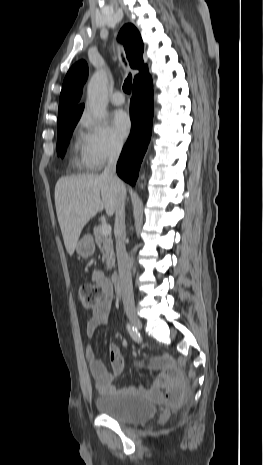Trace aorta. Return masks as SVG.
I'll return each mask as SVG.
<instances>
[{
	"mask_svg": "<svg viewBox=\"0 0 263 465\" xmlns=\"http://www.w3.org/2000/svg\"><path fill=\"white\" fill-rule=\"evenodd\" d=\"M106 105L107 76L103 71H97L87 86V106L96 118L101 119L106 114Z\"/></svg>",
	"mask_w": 263,
	"mask_h": 465,
	"instance_id": "obj_1",
	"label": "aorta"
}]
</instances>
